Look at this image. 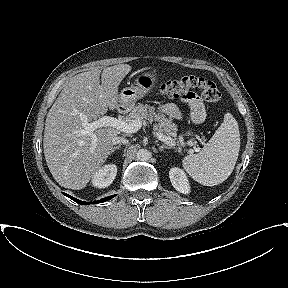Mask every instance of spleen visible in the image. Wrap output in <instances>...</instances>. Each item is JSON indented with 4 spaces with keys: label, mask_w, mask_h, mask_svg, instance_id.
<instances>
[{
    "label": "spleen",
    "mask_w": 288,
    "mask_h": 288,
    "mask_svg": "<svg viewBox=\"0 0 288 288\" xmlns=\"http://www.w3.org/2000/svg\"><path fill=\"white\" fill-rule=\"evenodd\" d=\"M239 150L238 123L231 113H227L209 142L198 154L186 156L182 165L195 181L205 186L218 185L232 173Z\"/></svg>",
    "instance_id": "spleen-1"
}]
</instances>
